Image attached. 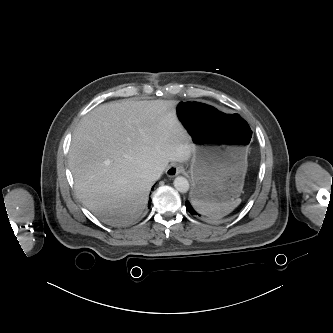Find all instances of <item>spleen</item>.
Returning a JSON list of instances; mask_svg holds the SVG:
<instances>
[{
    "label": "spleen",
    "mask_w": 333,
    "mask_h": 333,
    "mask_svg": "<svg viewBox=\"0 0 333 333\" xmlns=\"http://www.w3.org/2000/svg\"><path fill=\"white\" fill-rule=\"evenodd\" d=\"M240 203H241L240 198L236 199L233 202H226V203H215V202L198 200L194 198L191 200L192 206L195 208V210L198 213L206 215L213 219H218L229 214Z\"/></svg>",
    "instance_id": "3e777b00"
}]
</instances>
